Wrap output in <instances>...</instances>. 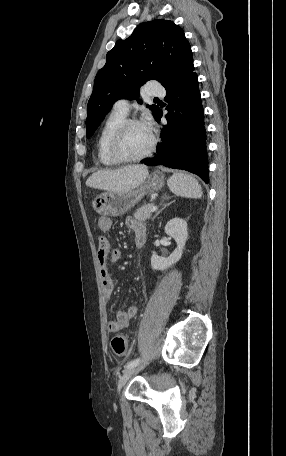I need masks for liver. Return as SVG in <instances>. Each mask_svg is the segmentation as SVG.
I'll list each match as a JSON object with an SVG mask.
<instances>
[{
	"label": "liver",
	"mask_w": 286,
	"mask_h": 456,
	"mask_svg": "<svg viewBox=\"0 0 286 456\" xmlns=\"http://www.w3.org/2000/svg\"><path fill=\"white\" fill-rule=\"evenodd\" d=\"M148 174V169L144 165H130L115 170H98L86 180V186L114 193H123L139 187L146 180Z\"/></svg>",
	"instance_id": "obj_1"
}]
</instances>
